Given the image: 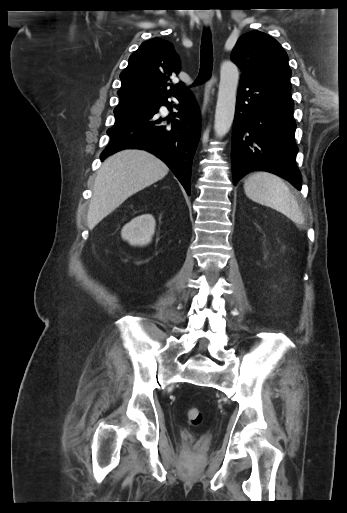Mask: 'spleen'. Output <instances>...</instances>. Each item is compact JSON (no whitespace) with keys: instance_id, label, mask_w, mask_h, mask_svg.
<instances>
[{"instance_id":"3e777b00","label":"spleen","mask_w":347,"mask_h":513,"mask_svg":"<svg viewBox=\"0 0 347 513\" xmlns=\"http://www.w3.org/2000/svg\"><path fill=\"white\" fill-rule=\"evenodd\" d=\"M244 191L254 202L269 206L292 221L302 224V211L289 187L278 176L269 172H255L244 182Z\"/></svg>"}]
</instances>
